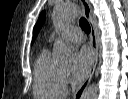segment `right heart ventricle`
Here are the masks:
<instances>
[{
	"label": "right heart ventricle",
	"instance_id": "1",
	"mask_svg": "<svg viewBox=\"0 0 128 99\" xmlns=\"http://www.w3.org/2000/svg\"><path fill=\"white\" fill-rule=\"evenodd\" d=\"M33 94L36 99H61L66 94L64 75L48 50H43L36 60Z\"/></svg>",
	"mask_w": 128,
	"mask_h": 99
}]
</instances>
